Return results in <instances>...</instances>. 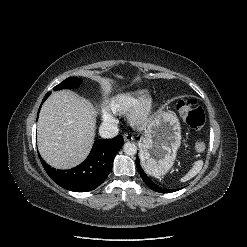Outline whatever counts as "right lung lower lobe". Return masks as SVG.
I'll return each mask as SVG.
<instances>
[{
	"mask_svg": "<svg viewBox=\"0 0 247 247\" xmlns=\"http://www.w3.org/2000/svg\"><path fill=\"white\" fill-rule=\"evenodd\" d=\"M50 93L45 95L43 102ZM123 143L122 136L111 140L100 139L94 143L88 157L81 164L69 170H56L40 159L47 174L58 185L74 192H87L97 188L109 175L114 157Z\"/></svg>",
	"mask_w": 247,
	"mask_h": 247,
	"instance_id": "right-lung-lower-lobe-1",
	"label": "right lung lower lobe"
}]
</instances>
